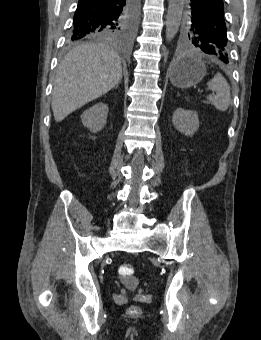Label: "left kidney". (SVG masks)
<instances>
[{"label": "left kidney", "instance_id": "5707ae66", "mask_svg": "<svg viewBox=\"0 0 261 340\" xmlns=\"http://www.w3.org/2000/svg\"><path fill=\"white\" fill-rule=\"evenodd\" d=\"M173 125L187 136H191L199 128L198 114L195 111L178 108L173 113Z\"/></svg>", "mask_w": 261, "mask_h": 340}]
</instances>
